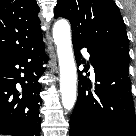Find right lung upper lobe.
<instances>
[{
	"label": "right lung upper lobe",
	"mask_w": 136,
	"mask_h": 136,
	"mask_svg": "<svg viewBox=\"0 0 136 136\" xmlns=\"http://www.w3.org/2000/svg\"><path fill=\"white\" fill-rule=\"evenodd\" d=\"M36 0H0V57L42 37Z\"/></svg>",
	"instance_id": "cb5924a9"
}]
</instances>
